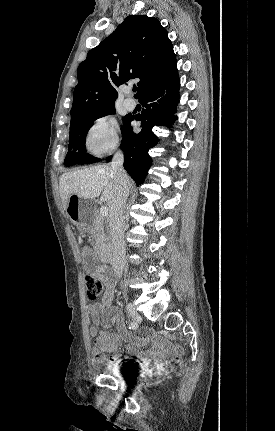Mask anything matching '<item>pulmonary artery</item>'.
<instances>
[{
  "instance_id": "1",
  "label": "pulmonary artery",
  "mask_w": 275,
  "mask_h": 431,
  "mask_svg": "<svg viewBox=\"0 0 275 431\" xmlns=\"http://www.w3.org/2000/svg\"><path fill=\"white\" fill-rule=\"evenodd\" d=\"M124 106L127 110L132 111L136 108V101L132 98H127L124 101Z\"/></svg>"
}]
</instances>
